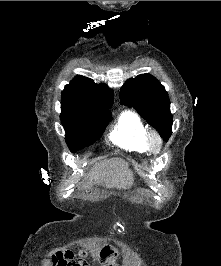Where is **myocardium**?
I'll list each match as a JSON object with an SVG mask.
<instances>
[{"label":"myocardium","mask_w":221,"mask_h":266,"mask_svg":"<svg viewBox=\"0 0 221 266\" xmlns=\"http://www.w3.org/2000/svg\"><path fill=\"white\" fill-rule=\"evenodd\" d=\"M147 145L153 154H159L163 148V140L157 133L150 132L147 135Z\"/></svg>","instance_id":"1"}]
</instances>
